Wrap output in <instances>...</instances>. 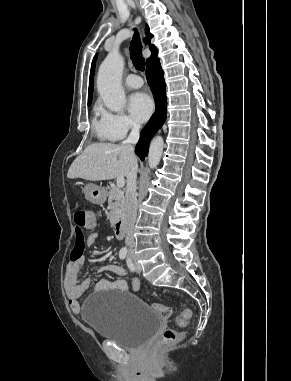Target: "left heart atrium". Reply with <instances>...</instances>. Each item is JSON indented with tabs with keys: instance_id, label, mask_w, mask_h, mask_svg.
I'll return each instance as SVG.
<instances>
[{
	"instance_id": "left-heart-atrium-1",
	"label": "left heart atrium",
	"mask_w": 291,
	"mask_h": 381,
	"mask_svg": "<svg viewBox=\"0 0 291 381\" xmlns=\"http://www.w3.org/2000/svg\"><path fill=\"white\" fill-rule=\"evenodd\" d=\"M129 110L138 122H145L153 111L152 99L143 92H137L129 98Z\"/></svg>"
}]
</instances>
